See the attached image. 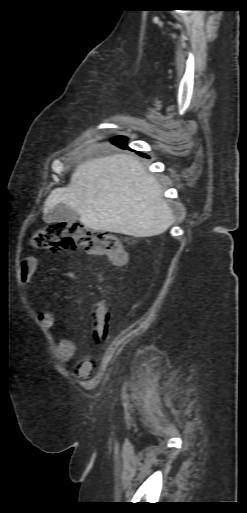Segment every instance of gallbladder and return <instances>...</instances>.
Returning a JSON list of instances; mask_svg holds the SVG:
<instances>
[{
    "label": "gallbladder",
    "mask_w": 247,
    "mask_h": 513,
    "mask_svg": "<svg viewBox=\"0 0 247 513\" xmlns=\"http://www.w3.org/2000/svg\"><path fill=\"white\" fill-rule=\"evenodd\" d=\"M45 220L48 223L67 222L70 224L78 220V214L69 206L60 203L45 216Z\"/></svg>",
    "instance_id": "gallbladder-1"
}]
</instances>
